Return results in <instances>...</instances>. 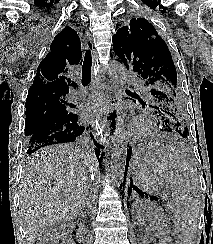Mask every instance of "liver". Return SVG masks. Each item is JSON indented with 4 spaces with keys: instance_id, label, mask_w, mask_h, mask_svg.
<instances>
[{
    "instance_id": "1",
    "label": "liver",
    "mask_w": 213,
    "mask_h": 244,
    "mask_svg": "<svg viewBox=\"0 0 213 244\" xmlns=\"http://www.w3.org/2000/svg\"><path fill=\"white\" fill-rule=\"evenodd\" d=\"M92 160L91 154L70 144L45 147L30 157L20 193L27 244L55 222L77 215Z\"/></svg>"
}]
</instances>
